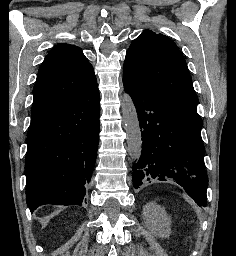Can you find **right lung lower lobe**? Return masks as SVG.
I'll return each instance as SVG.
<instances>
[{"label": "right lung lower lobe", "instance_id": "right-lung-lower-lobe-1", "mask_svg": "<svg viewBox=\"0 0 236 256\" xmlns=\"http://www.w3.org/2000/svg\"><path fill=\"white\" fill-rule=\"evenodd\" d=\"M97 83L42 117L27 133L26 201L39 205H82L99 142Z\"/></svg>", "mask_w": 236, "mask_h": 256}]
</instances>
